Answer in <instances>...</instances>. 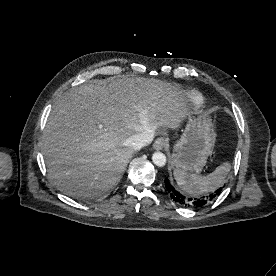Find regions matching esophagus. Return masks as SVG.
<instances>
[{"mask_svg": "<svg viewBox=\"0 0 276 276\" xmlns=\"http://www.w3.org/2000/svg\"><path fill=\"white\" fill-rule=\"evenodd\" d=\"M165 145H166L165 139L163 137H160L154 142L153 148L155 150H161L165 147Z\"/></svg>", "mask_w": 276, "mask_h": 276, "instance_id": "esophagus-1", "label": "esophagus"}]
</instances>
